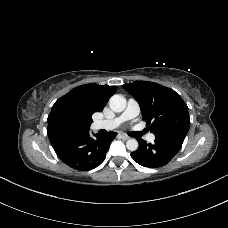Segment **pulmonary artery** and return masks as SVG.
I'll return each instance as SVG.
<instances>
[{
    "mask_svg": "<svg viewBox=\"0 0 228 228\" xmlns=\"http://www.w3.org/2000/svg\"><path fill=\"white\" fill-rule=\"evenodd\" d=\"M140 113V106L138 102L134 98H130L127 102L126 109L124 112L112 119H104V120H98L95 121L93 124L94 129L99 130V129H114L118 127L120 124L127 120L134 119L137 117ZM150 142L154 141L155 136L153 134H150L147 138Z\"/></svg>",
    "mask_w": 228,
    "mask_h": 228,
    "instance_id": "obj_1",
    "label": "pulmonary artery"
}]
</instances>
